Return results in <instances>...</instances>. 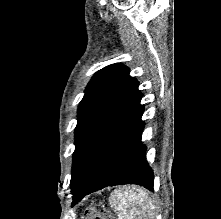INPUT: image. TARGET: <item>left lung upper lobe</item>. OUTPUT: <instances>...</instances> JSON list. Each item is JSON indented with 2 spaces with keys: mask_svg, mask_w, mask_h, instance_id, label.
<instances>
[{
  "mask_svg": "<svg viewBox=\"0 0 221 219\" xmlns=\"http://www.w3.org/2000/svg\"><path fill=\"white\" fill-rule=\"evenodd\" d=\"M140 96L138 81L120 63L106 66L92 77L78 107L71 189L97 144Z\"/></svg>",
  "mask_w": 221,
  "mask_h": 219,
  "instance_id": "left-lung-upper-lobe-1",
  "label": "left lung upper lobe"
}]
</instances>
